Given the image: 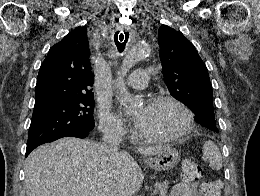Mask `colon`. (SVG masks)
<instances>
[{"mask_svg": "<svg viewBox=\"0 0 260 196\" xmlns=\"http://www.w3.org/2000/svg\"><path fill=\"white\" fill-rule=\"evenodd\" d=\"M204 175L200 165L193 160H184L181 168V181L193 185L203 183ZM222 193V192H220Z\"/></svg>", "mask_w": 260, "mask_h": 196, "instance_id": "colon-1", "label": "colon"}]
</instances>
